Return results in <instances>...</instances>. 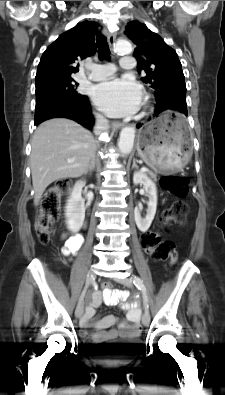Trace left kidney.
I'll return each mask as SVG.
<instances>
[{
    "mask_svg": "<svg viewBox=\"0 0 225 395\" xmlns=\"http://www.w3.org/2000/svg\"><path fill=\"white\" fill-rule=\"evenodd\" d=\"M133 183L135 185L137 184L143 185L146 195L149 198L148 208L146 210L147 214L145 218L141 217L140 208L136 207L134 210L135 222L138 229L142 232H146L149 229L156 213V208H157L156 184L146 174H144L141 171L134 173Z\"/></svg>",
    "mask_w": 225,
    "mask_h": 395,
    "instance_id": "5707ae66",
    "label": "left kidney"
}]
</instances>
